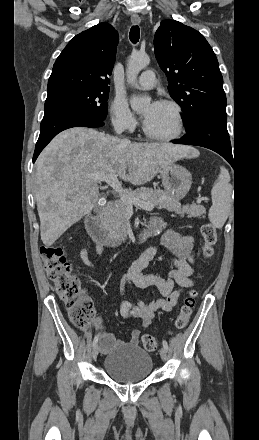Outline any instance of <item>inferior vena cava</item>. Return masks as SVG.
Returning <instances> with one entry per match:
<instances>
[{
  "label": "inferior vena cava",
  "instance_id": "obj_1",
  "mask_svg": "<svg viewBox=\"0 0 259 440\" xmlns=\"http://www.w3.org/2000/svg\"><path fill=\"white\" fill-rule=\"evenodd\" d=\"M115 130H116V133L117 134H121L122 132H123V129H122V127H120V126H117L116 128H115ZM123 141L124 142H128L129 140L128 139H123Z\"/></svg>",
  "mask_w": 259,
  "mask_h": 440
}]
</instances>
